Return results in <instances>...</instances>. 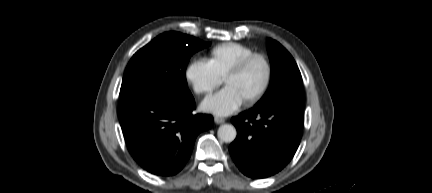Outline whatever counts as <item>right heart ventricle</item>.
<instances>
[{
  "instance_id": "obj_1",
  "label": "right heart ventricle",
  "mask_w": 432,
  "mask_h": 193,
  "mask_svg": "<svg viewBox=\"0 0 432 193\" xmlns=\"http://www.w3.org/2000/svg\"><path fill=\"white\" fill-rule=\"evenodd\" d=\"M252 53V49L241 45L219 46L211 51L208 65L214 73L223 78L228 69L237 61Z\"/></svg>"
}]
</instances>
